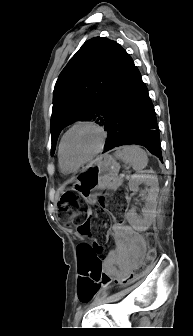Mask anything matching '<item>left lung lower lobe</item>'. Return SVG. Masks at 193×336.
<instances>
[{"label":"left lung lower lobe","instance_id":"0a47b994","mask_svg":"<svg viewBox=\"0 0 193 336\" xmlns=\"http://www.w3.org/2000/svg\"><path fill=\"white\" fill-rule=\"evenodd\" d=\"M104 127L108 132L104 152L136 144L146 147L163 162L154 106L129 55Z\"/></svg>","mask_w":193,"mask_h":336}]
</instances>
